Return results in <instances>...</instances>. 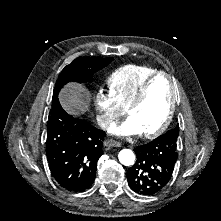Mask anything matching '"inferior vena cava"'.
I'll return each mask as SVG.
<instances>
[{
	"instance_id": "obj_1",
	"label": "inferior vena cava",
	"mask_w": 221,
	"mask_h": 221,
	"mask_svg": "<svg viewBox=\"0 0 221 221\" xmlns=\"http://www.w3.org/2000/svg\"><path fill=\"white\" fill-rule=\"evenodd\" d=\"M97 122L101 128L105 129L112 124V119L109 116L100 115L97 117Z\"/></svg>"
}]
</instances>
